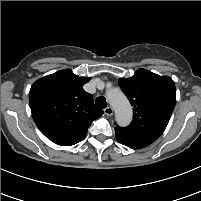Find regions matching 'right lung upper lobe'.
<instances>
[{
  "label": "right lung upper lobe",
  "instance_id": "1",
  "mask_svg": "<svg viewBox=\"0 0 201 201\" xmlns=\"http://www.w3.org/2000/svg\"><path fill=\"white\" fill-rule=\"evenodd\" d=\"M89 80L66 69L32 85L29 102L33 119L52 142L62 146L80 142L92 121L104 113L95 107L92 95L83 89Z\"/></svg>",
  "mask_w": 201,
  "mask_h": 201
}]
</instances>
